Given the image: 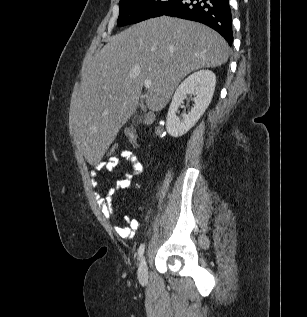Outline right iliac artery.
<instances>
[{
  "label": "right iliac artery",
  "instance_id": "right-iliac-artery-1",
  "mask_svg": "<svg viewBox=\"0 0 307 317\" xmlns=\"http://www.w3.org/2000/svg\"><path fill=\"white\" fill-rule=\"evenodd\" d=\"M144 249H145V244H141L139 249H138L139 258H142L143 254H144Z\"/></svg>",
  "mask_w": 307,
  "mask_h": 317
}]
</instances>
